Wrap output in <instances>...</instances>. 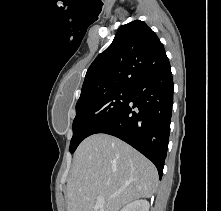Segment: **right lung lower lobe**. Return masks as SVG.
<instances>
[{
	"label": "right lung lower lobe",
	"instance_id": "1",
	"mask_svg": "<svg viewBox=\"0 0 221 211\" xmlns=\"http://www.w3.org/2000/svg\"><path fill=\"white\" fill-rule=\"evenodd\" d=\"M173 86L170 67L140 79L131 86L127 104L96 132L137 149L154 163L160 178L169 142Z\"/></svg>",
	"mask_w": 221,
	"mask_h": 211
}]
</instances>
